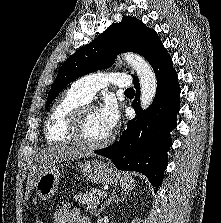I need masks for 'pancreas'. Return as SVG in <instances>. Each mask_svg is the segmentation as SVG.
Instances as JSON below:
<instances>
[{"label": "pancreas", "instance_id": "1", "mask_svg": "<svg viewBox=\"0 0 221 223\" xmlns=\"http://www.w3.org/2000/svg\"><path fill=\"white\" fill-rule=\"evenodd\" d=\"M102 192H103L102 190H99L97 188H92L91 190L85 192L84 194L79 193L75 195L74 198L79 203L86 205L87 206L86 209L91 215H95L96 204L99 201L98 196H101Z\"/></svg>", "mask_w": 221, "mask_h": 223}]
</instances>
